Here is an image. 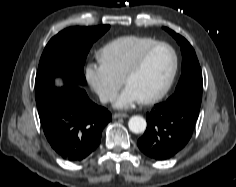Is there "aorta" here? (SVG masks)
Returning a JSON list of instances; mask_svg holds the SVG:
<instances>
[{
  "instance_id": "1",
  "label": "aorta",
  "mask_w": 236,
  "mask_h": 187,
  "mask_svg": "<svg viewBox=\"0 0 236 187\" xmlns=\"http://www.w3.org/2000/svg\"><path fill=\"white\" fill-rule=\"evenodd\" d=\"M128 126L131 132L139 134L146 129V120L141 116H132L128 121Z\"/></svg>"
}]
</instances>
